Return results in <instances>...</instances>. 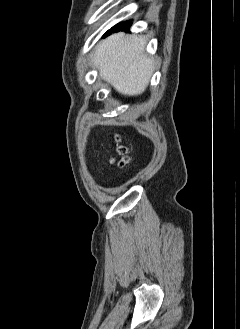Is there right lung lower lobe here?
I'll return each instance as SVG.
<instances>
[{"label":"right lung lower lobe","mask_w":240,"mask_h":329,"mask_svg":"<svg viewBox=\"0 0 240 329\" xmlns=\"http://www.w3.org/2000/svg\"><path fill=\"white\" fill-rule=\"evenodd\" d=\"M130 26H131V22L130 21L119 23V24L115 25L113 28H111L109 31H107L105 33L104 37H106L107 35H109L111 32H118V31H126V30H129Z\"/></svg>","instance_id":"right-lung-lower-lobe-1"}]
</instances>
